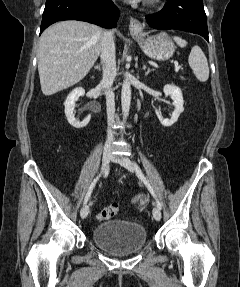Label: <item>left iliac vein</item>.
I'll return each instance as SVG.
<instances>
[{
    "label": "left iliac vein",
    "instance_id": "left-iliac-vein-1",
    "mask_svg": "<svg viewBox=\"0 0 240 287\" xmlns=\"http://www.w3.org/2000/svg\"><path fill=\"white\" fill-rule=\"evenodd\" d=\"M112 160L114 162L119 163L120 165L125 167L127 170H129L131 172L134 171V165L128 157H126V156H122V157L113 156ZM153 217L157 221H159L161 219V211L158 207L153 208Z\"/></svg>",
    "mask_w": 240,
    "mask_h": 287
}]
</instances>
